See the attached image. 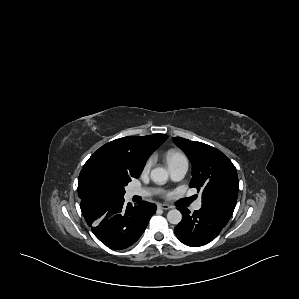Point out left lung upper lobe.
Segmentation results:
<instances>
[{
    "label": "left lung upper lobe",
    "mask_w": 299,
    "mask_h": 299,
    "mask_svg": "<svg viewBox=\"0 0 299 299\" xmlns=\"http://www.w3.org/2000/svg\"><path fill=\"white\" fill-rule=\"evenodd\" d=\"M192 163L193 178L189 184L202 192V209L229 221L238 196L235 166L218 149L180 137L173 138Z\"/></svg>",
    "instance_id": "obj_1"
}]
</instances>
